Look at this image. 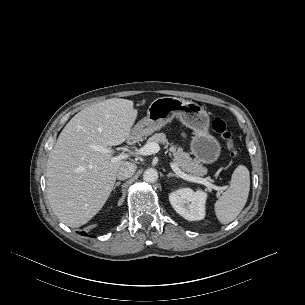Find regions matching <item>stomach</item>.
<instances>
[{
	"label": "stomach",
	"mask_w": 305,
	"mask_h": 305,
	"mask_svg": "<svg viewBox=\"0 0 305 305\" xmlns=\"http://www.w3.org/2000/svg\"><path fill=\"white\" fill-rule=\"evenodd\" d=\"M175 117L193 130L190 150L197 160L206 164L215 162L220 156L221 145L208 131L210 119L207 112L192 101L168 96L155 99L147 109V116L134 126L133 131L137 135H150Z\"/></svg>",
	"instance_id": "stomach-1"
}]
</instances>
